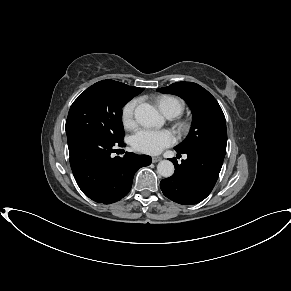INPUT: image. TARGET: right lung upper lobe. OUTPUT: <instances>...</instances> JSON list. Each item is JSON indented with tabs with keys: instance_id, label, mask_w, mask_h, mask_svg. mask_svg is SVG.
I'll return each mask as SVG.
<instances>
[{
	"instance_id": "right-lung-upper-lobe-1",
	"label": "right lung upper lobe",
	"mask_w": 291,
	"mask_h": 291,
	"mask_svg": "<svg viewBox=\"0 0 291 291\" xmlns=\"http://www.w3.org/2000/svg\"><path fill=\"white\" fill-rule=\"evenodd\" d=\"M105 84H108L110 86H112L113 88L119 89V90H123L125 92H129L132 94L138 95L139 93H141L144 89L143 88H138V87H134V86H128L126 84H123L121 82H117L114 80H103L101 81Z\"/></svg>"
}]
</instances>
